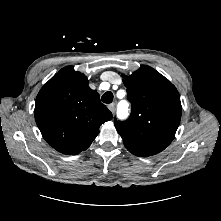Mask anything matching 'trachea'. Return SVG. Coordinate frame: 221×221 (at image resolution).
<instances>
[{
    "mask_svg": "<svg viewBox=\"0 0 221 221\" xmlns=\"http://www.w3.org/2000/svg\"><path fill=\"white\" fill-rule=\"evenodd\" d=\"M102 102L109 104L113 101V93L111 91H107L102 95Z\"/></svg>",
    "mask_w": 221,
    "mask_h": 221,
    "instance_id": "trachea-1",
    "label": "trachea"
}]
</instances>
